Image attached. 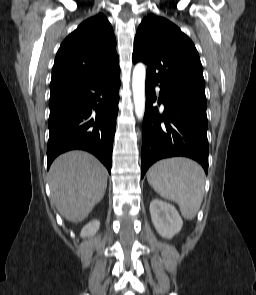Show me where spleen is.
Returning a JSON list of instances; mask_svg holds the SVG:
<instances>
[{
	"label": "spleen",
	"instance_id": "1",
	"mask_svg": "<svg viewBox=\"0 0 256 295\" xmlns=\"http://www.w3.org/2000/svg\"><path fill=\"white\" fill-rule=\"evenodd\" d=\"M147 180L160 196L178 203L184 218L196 216L203 200L205 174L195 161L182 157L161 160L148 170Z\"/></svg>",
	"mask_w": 256,
	"mask_h": 295
}]
</instances>
